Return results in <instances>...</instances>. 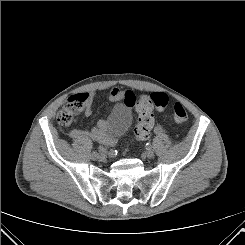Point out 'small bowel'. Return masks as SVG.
<instances>
[{
	"instance_id": "c3829d8e",
	"label": "small bowel",
	"mask_w": 245,
	"mask_h": 245,
	"mask_svg": "<svg viewBox=\"0 0 245 245\" xmlns=\"http://www.w3.org/2000/svg\"><path fill=\"white\" fill-rule=\"evenodd\" d=\"M105 97L111 102L123 101L125 106L129 110H132L136 104V95L132 90H122L116 87L111 89V91L106 94ZM85 113L87 115L91 113V109L89 106L86 108ZM68 134L71 138L74 139L88 137L99 143H112L114 141V139H112L106 133L101 122H99L97 126L92 128L91 130L72 129L68 132Z\"/></svg>"
}]
</instances>
